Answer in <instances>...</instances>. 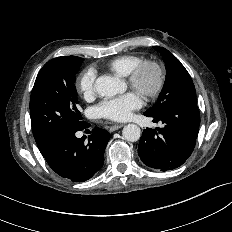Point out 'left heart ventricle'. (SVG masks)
I'll return each instance as SVG.
<instances>
[{
    "instance_id": "left-heart-ventricle-1",
    "label": "left heart ventricle",
    "mask_w": 232,
    "mask_h": 232,
    "mask_svg": "<svg viewBox=\"0 0 232 232\" xmlns=\"http://www.w3.org/2000/svg\"><path fill=\"white\" fill-rule=\"evenodd\" d=\"M154 83V73L151 70L145 71L142 76V86L144 88H150Z\"/></svg>"
}]
</instances>
